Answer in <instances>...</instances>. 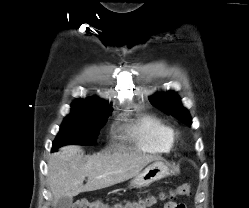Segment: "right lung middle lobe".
Wrapping results in <instances>:
<instances>
[{"label":"right lung middle lobe","instance_id":"1","mask_svg":"<svg viewBox=\"0 0 249 208\" xmlns=\"http://www.w3.org/2000/svg\"><path fill=\"white\" fill-rule=\"evenodd\" d=\"M110 111L72 108L53 142L52 151L67 144H93L97 139L99 130L106 123Z\"/></svg>","mask_w":249,"mask_h":208}]
</instances>
